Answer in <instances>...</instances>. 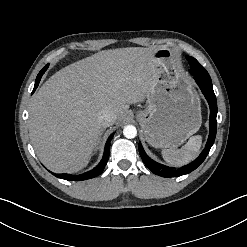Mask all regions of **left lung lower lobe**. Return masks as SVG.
<instances>
[{"label": "left lung lower lobe", "mask_w": 247, "mask_h": 247, "mask_svg": "<svg viewBox=\"0 0 247 247\" xmlns=\"http://www.w3.org/2000/svg\"><path fill=\"white\" fill-rule=\"evenodd\" d=\"M189 72L194 76V79L198 86L200 87L202 93L204 94L205 98L208 101V104L210 106V120H209V126H210V134L208 137L207 144L202 151V153L199 155V157L191 162L188 165H185L178 169H172L169 167H166L162 164H159L155 161H153L151 158L148 157V155L145 153L141 143H139V154L145 163V165L156 175L161 177H179L181 175L189 174L196 168H198L202 162L207 157L216 137V130H217V101L216 96L213 91V86L211 82V78H205L200 76L196 69L192 66Z\"/></svg>", "instance_id": "0a47b994"}]
</instances>
